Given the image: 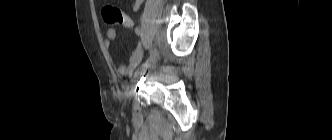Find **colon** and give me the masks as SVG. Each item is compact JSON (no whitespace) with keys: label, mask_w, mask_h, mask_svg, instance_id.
I'll list each match as a JSON object with an SVG mask.
<instances>
[{"label":"colon","mask_w":332,"mask_h":140,"mask_svg":"<svg viewBox=\"0 0 332 140\" xmlns=\"http://www.w3.org/2000/svg\"><path fill=\"white\" fill-rule=\"evenodd\" d=\"M102 17L107 24L122 26L126 29L133 27L131 18L119 8L106 5L102 9Z\"/></svg>","instance_id":"1"}]
</instances>
